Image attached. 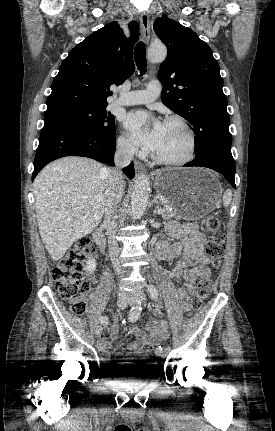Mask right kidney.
<instances>
[{"label": "right kidney", "mask_w": 275, "mask_h": 431, "mask_svg": "<svg viewBox=\"0 0 275 431\" xmlns=\"http://www.w3.org/2000/svg\"><path fill=\"white\" fill-rule=\"evenodd\" d=\"M96 269V260L93 258H89L86 261V266H85V270L87 273H93Z\"/></svg>", "instance_id": "obj_1"}]
</instances>
